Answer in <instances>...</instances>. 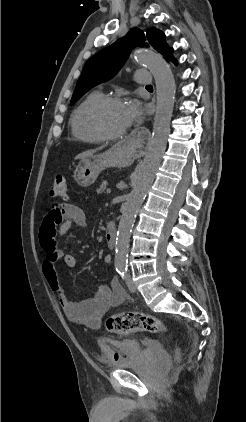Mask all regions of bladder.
<instances>
[{
    "instance_id": "bladder-1",
    "label": "bladder",
    "mask_w": 246,
    "mask_h": 422,
    "mask_svg": "<svg viewBox=\"0 0 246 422\" xmlns=\"http://www.w3.org/2000/svg\"><path fill=\"white\" fill-rule=\"evenodd\" d=\"M109 364L116 368H127L135 365L142 352L141 343L137 339H110L101 347ZM153 359L159 368L165 369L169 365V356L160 347L151 349Z\"/></svg>"
}]
</instances>
